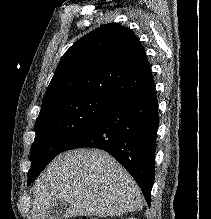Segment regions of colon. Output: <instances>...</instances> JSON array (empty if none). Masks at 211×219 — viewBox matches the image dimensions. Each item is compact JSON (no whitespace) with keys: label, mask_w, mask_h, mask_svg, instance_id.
<instances>
[{"label":"colon","mask_w":211,"mask_h":219,"mask_svg":"<svg viewBox=\"0 0 211 219\" xmlns=\"http://www.w3.org/2000/svg\"><path fill=\"white\" fill-rule=\"evenodd\" d=\"M81 219H105V218H97V217H82Z\"/></svg>","instance_id":"colon-1"}]
</instances>
